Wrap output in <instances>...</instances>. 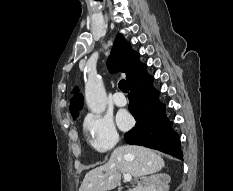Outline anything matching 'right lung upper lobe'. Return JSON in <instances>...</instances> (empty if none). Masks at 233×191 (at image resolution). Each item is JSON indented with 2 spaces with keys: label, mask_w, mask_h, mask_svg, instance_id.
Returning a JSON list of instances; mask_svg holds the SVG:
<instances>
[{
  "label": "right lung upper lobe",
  "mask_w": 233,
  "mask_h": 191,
  "mask_svg": "<svg viewBox=\"0 0 233 191\" xmlns=\"http://www.w3.org/2000/svg\"><path fill=\"white\" fill-rule=\"evenodd\" d=\"M140 63L139 53L133 51L125 38L118 34L107 63L110 70L112 72H125L128 81ZM74 92H78V88H75ZM82 105L81 94L74 95L70 105L71 114H79L78 109H81Z\"/></svg>",
  "instance_id": "obj_1"
}]
</instances>
